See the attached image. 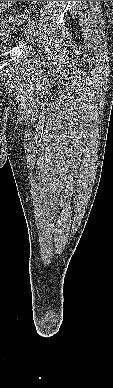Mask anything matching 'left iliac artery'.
I'll use <instances>...</instances> for the list:
<instances>
[{
    "label": "left iliac artery",
    "mask_w": 113,
    "mask_h": 388,
    "mask_svg": "<svg viewBox=\"0 0 113 388\" xmlns=\"http://www.w3.org/2000/svg\"><path fill=\"white\" fill-rule=\"evenodd\" d=\"M28 24H30L31 26L35 25V21L33 19H28Z\"/></svg>",
    "instance_id": "obj_1"
}]
</instances>
